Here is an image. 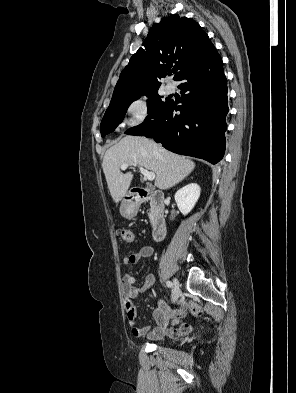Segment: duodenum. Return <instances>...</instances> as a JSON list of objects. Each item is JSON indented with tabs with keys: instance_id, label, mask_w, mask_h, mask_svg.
Here are the masks:
<instances>
[{
	"instance_id": "duodenum-1",
	"label": "duodenum",
	"mask_w": 296,
	"mask_h": 393,
	"mask_svg": "<svg viewBox=\"0 0 296 393\" xmlns=\"http://www.w3.org/2000/svg\"><path fill=\"white\" fill-rule=\"evenodd\" d=\"M144 200H149L152 209V236L157 242L165 239L167 226L165 220V197L159 190H147L137 187L129 195V205L135 209Z\"/></svg>"
}]
</instances>
